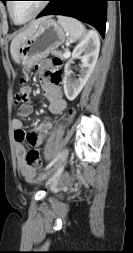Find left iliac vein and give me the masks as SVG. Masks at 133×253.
<instances>
[{"mask_svg":"<svg viewBox=\"0 0 133 253\" xmlns=\"http://www.w3.org/2000/svg\"><path fill=\"white\" fill-rule=\"evenodd\" d=\"M68 155H69V150L67 148H65L61 154H60V157H59V160L58 162L54 165V168L51 169L49 172H47L46 174L42 175V177L40 178V180H43L45 179L50 173H52V171L62 167L64 165V163L66 162L67 158H68Z\"/></svg>","mask_w":133,"mask_h":253,"instance_id":"4c4485c4","label":"left iliac vein"}]
</instances>
